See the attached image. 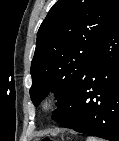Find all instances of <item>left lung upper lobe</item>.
Listing matches in <instances>:
<instances>
[{
  "mask_svg": "<svg viewBox=\"0 0 119 141\" xmlns=\"http://www.w3.org/2000/svg\"><path fill=\"white\" fill-rule=\"evenodd\" d=\"M119 13V0H59L42 22L31 64L35 106L51 91L58 105L78 84L97 44Z\"/></svg>",
  "mask_w": 119,
  "mask_h": 141,
  "instance_id": "left-lung-upper-lobe-1",
  "label": "left lung upper lobe"
}]
</instances>
